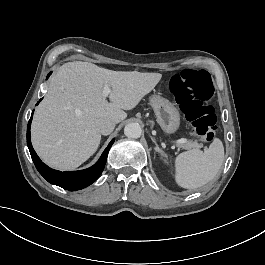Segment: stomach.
Wrapping results in <instances>:
<instances>
[{
  "mask_svg": "<svg viewBox=\"0 0 265 265\" xmlns=\"http://www.w3.org/2000/svg\"><path fill=\"white\" fill-rule=\"evenodd\" d=\"M153 107L157 122L164 132L174 133L180 125V114L178 109L169 100L160 95L153 94L149 98Z\"/></svg>",
  "mask_w": 265,
  "mask_h": 265,
  "instance_id": "stomach-1",
  "label": "stomach"
}]
</instances>
